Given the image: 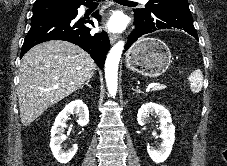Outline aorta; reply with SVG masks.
<instances>
[{
  "instance_id": "aorta-1",
  "label": "aorta",
  "mask_w": 227,
  "mask_h": 166,
  "mask_svg": "<svg viewBox=\"0 0 227 166\" xmlns=\"http://www.w3.org/2000/svg\"><path fill=\"white\" fill-rule=\"evenodd\" d=\"M124 49V42L119 41L109 51L105 62V79L108 92L115 96L118 86V65Z\"/></svg>"
}]
</instances>
